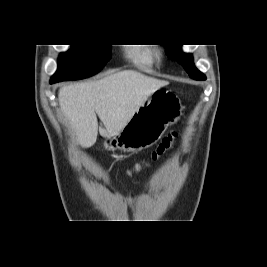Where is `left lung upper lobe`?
Instances as JSON below:
<instances>
[{
	"label": "left lung upper lobe",
	"instance_id": "left-lung-upper-lobe-1",
	"mask_svg": "<svg viewBox=\"0 0 267 267\" xmlns=\"http://www.w3.org/2000/svg\"><path fill=\"white\" fill-rule=\"evenodd\" d=\"M165 46L166 54L170 58L175 59L178 63L182 64L191 78L195 80H206V76L194 66L192 55L188 53H182L180 51L182 45Z\"/></svg>",
	"mask_w": 267,
	"mask_h": 267
}]
</instances>
